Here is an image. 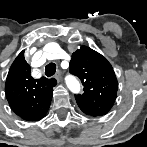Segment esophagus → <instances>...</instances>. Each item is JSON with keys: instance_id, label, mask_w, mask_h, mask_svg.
Listing matches in <instances>:
<instances>
[{"instance_id": "obj_1", "label": "esophagus", "mask_w": 147, "mask_h": 147, "mask_svg": "<svg viewBox=\"0 0 147 147\" xmlns=\"http://www.w3.org/2000/svg\"><path fill=\"white\" fill-rule=\"evenodd\" d=\"M55 78H56V80H57L58 82H60L61 73H60V72H57V73L55 74Z\"/></svg>"}]
</instances>
